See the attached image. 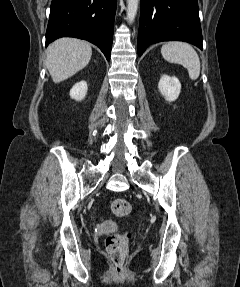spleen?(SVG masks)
Returning <instances> with one entry per match:
<instances>
[{"mask_svg":"<svg viewBox=\"0 0 240 287\" xmlns=\"http://www.w3.org/2000/svg\"><path fill=\"white\" fill-rule=\"evenodd\" d=\"M161 53L170 63L181 64L188 70L189 77L196 80L200 74V60L194 48L185 42L170 41L161 47Z\"/></svg>","mask_w":240,"mask_h":287,"instance_id":"spleen-1","label":"spleen"}]
</instances>
